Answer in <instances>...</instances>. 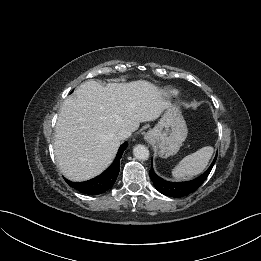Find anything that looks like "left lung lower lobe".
<instances>
[{
    "label": "left lung lower lobe",
    "mask_w": 261,
    "mask_h": 261,
    "mask_svg": "<svg viewBox=\"0 0 261 261\" xmlns=\"http://www.w3.org/2000/svg\"><path fill=\"white\" fill-rule=\"evenodd\" d=\"M216 159H217V153L209 168L202 175H200L199 177L191 181H186V182L166 181L161 177H159L158 175H156L152 167L149 171V176L155 188L160 193L170 197H177V198L184 197L192 192H195L203 184V182L207 179L208 175L210 174Z\"/></svg>",
    "instance_id": "obj_1"
}]
</instances>
